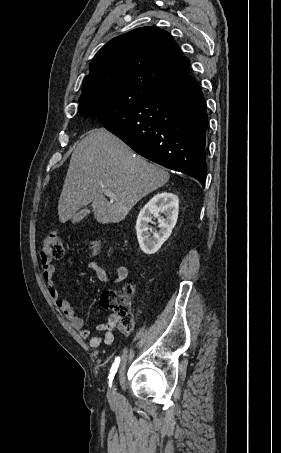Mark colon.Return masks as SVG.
<instances>
[{"instance_id": "5ec220e1", "label": "colon", "mask_w": 281, "mask_h": 453, "mask_svg": "<svg viewBox=\"0 0 281 453\" xmlns=\"http://www.w3.org/2000/svg\"><path fill=\"white\" fill-rule=\"evenodd\" d=\"M102 246L96 245V252L88 258L93 260L97 251L101 250ZM65 249L63 239L59 232L51 231L43 241L42 251L40 253V261L43 263L58 261L64 258ZM83 258V256L81 257ZM127 291L131 292L132 287L127 286ZM118 324L121 330L128 331L132 329L133 321L132 314L128 308H120L117 311Z\"/></svg>"}]
</instances>
